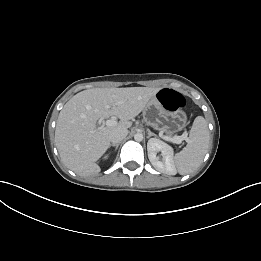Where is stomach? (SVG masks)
<instances>
[{
    "label": "stomach",
    "mask_w": 261,
    "mask_h": 261,
    "mask_svg": "<svg viewBox=\"0 0 261 261\" xmlns=\"http://www.w3.org/2000/svg\"><path fill=\"white\" fill-rule=\"evenodd\" d=\"M147 124L153 128L173 134L180 131L186 124L187 117L181 112H169L154 96L143 110Z\"/></svg>",
    "instance_id": "0dacf381"
}]
</instances>
